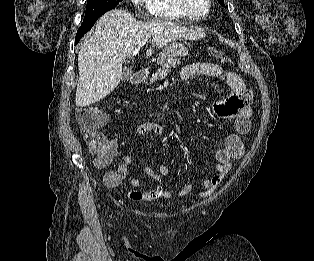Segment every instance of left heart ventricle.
Returning <instances> with one entry per match:
<instances>
[{
	"label": "left heart ventricle",
	"instance_id": "left-heart-ventricle-1",
	"mask_svg": "<svg viewBox=\"0 0 314 261\" xmlns=\"http://www.w3.org/2000/svg\"><path fill=\"white\" fill-rule=\"evenodd\" d=\"M188 5L197 13H202L207 8L206 0H187Z\"/></svg>",
	"mask_w": 314,
	"mask_h": 261
}]
</instances>
